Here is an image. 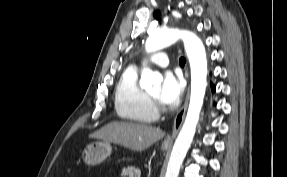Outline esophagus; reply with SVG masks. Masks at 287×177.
Masks as SVG:
<instances>
[{
	"label": "esophagus",
	"mask_w": 287,
	"mask_h": 177,
	"mask_svg": "<svg viewBox=\"0 0 287 177\" xmlns=\"http://www.w3.org/2000/svg\"><path fill=\"white\" fill-rule=\"evenodd\" d=\"M188 99H189V88H188V91H187V95H186V99H185L184 105L182 106L180 111L175 116L172 135L167 137L164 140L163 145H165V146L172 145L173 140L176 137V135H177L182 123H183V120H184V117H185V113H186V110H187V106H188Z\"/></svg>",
	"instance_id": "esophagus-1"
}]
</instances>
